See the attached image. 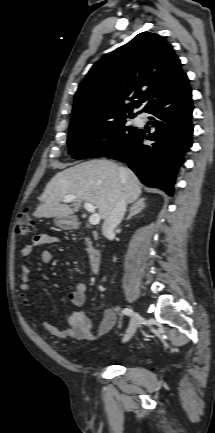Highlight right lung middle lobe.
Segmentation results:
<instances>
[{"label":"right lung middle lobe","mask_w":215,"mask_h":433,"mask_svg":"<svg viewBox=\"0 0 215 433\" xmlns=\"http://www.w3.org/2000/svg\"><path fill=\"white\" fill-rule=\"evenodd\" d=\"M88 124L70 125L67 143L69 154L75 159L107 156L124 146L137 132L127 125L126 118Z\"/></svg>","instance_id":"obj_1"}]
</instances>
